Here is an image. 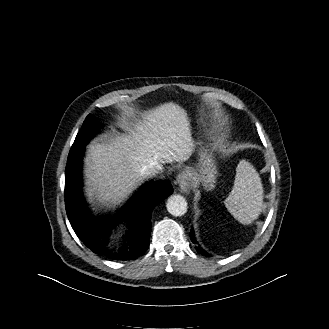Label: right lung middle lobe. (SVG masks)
<instances>
[{
    "mask_svg": "<svg viewBox=\"0 0 329 329\" xmlns=\"http://www.w3.org/2000/svg\"><path fill=\"white\" fill-rule=\"evenodd\" d=\"M99 127L100 125L98 124V121L91 114H89L86 117L81 130L75 138V141L68 155V160L74 158L76 154L85 148L90 139H92L96 132L99 131Z\"/></svg>",
    "mask_w": 329,
    "mask_h": 329,
    "instance_id": "obj_1",
    "label": "right lung middle lobe"
}]
</instances>
